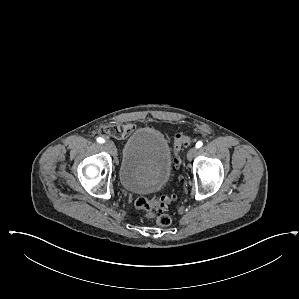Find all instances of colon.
Wrapping results in <instances>:
<instances>
[{
  "mask_svg": "<svg viewBox=\"0 0 299 299\" xmlns=\"http://www.w3.org/2000/svg\"><path fill=\"white\" fill-rule=\"evenodd\" d=\"M191 142L192 139L190 136L177 134L173 140L176 154H178L182 147L188 146ZM179 162L180 159L177 158V163ZM173 199L174 195H161L151 199L139 197L135 200V207L144 212L147 217L154 218L159 226H168L171 224V217L164 213V211L169 208Z\"/></svg>",
  "mask_w": 299,
  "mask_h": 299,
  "instance_id": "5ec220e1",
  "label": "colon"
}]
</instances>
